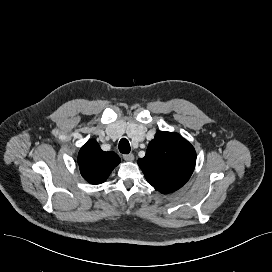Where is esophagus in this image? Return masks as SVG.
Masks as SVG:
<instances>
[{"label":"esophagus","mask_w":272,"mask_h":272,"mask_svg":"<svg viewBox=\"0 0 272 272\" xmlns=\"http://www.w3.org/2000/svg\"><path fill=\"white\" fill-rule=\"evenodd\" d=\"M123 158H124V160L131 162L134 160V155L133 154H125V155H123Z\"/></svg>","instance_id":"34e87169"}]
</instances>
